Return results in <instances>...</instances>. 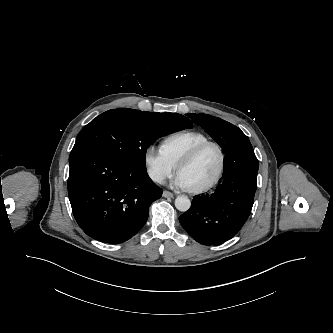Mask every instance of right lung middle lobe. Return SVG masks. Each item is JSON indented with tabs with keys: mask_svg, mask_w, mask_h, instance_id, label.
Masks as SVG:
<instances>
[{
	"mask_svg": "<svg viewBox=\"0 0 333 333\" xmlns=\"http://www.w3.org/2000/svg\"><path fill=\"white\" fill-rule=\"evenodd\" d=\"M193 125L176 113L157 119L139 110L121 108L104 112L78 134L74 147L83 145L101 149L136 169H146L147 148L160 136Z\"/></svg>",
	"mask_w": 333,
	"mask_h": 333,
	"instance_id": "1",
	"label": "right lung middle lobe"
}]
</instances>
